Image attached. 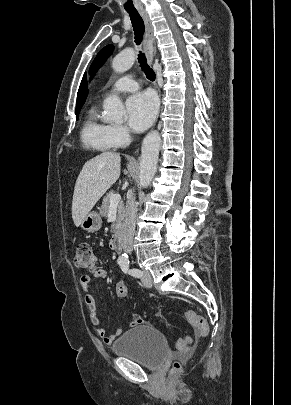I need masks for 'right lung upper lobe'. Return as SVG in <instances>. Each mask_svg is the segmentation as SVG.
Returning a JSON list of instances; mask_svg holds the SVG:
<instances>
[{"mask_svg":"<svg viewBox=\"0 0 291 405\" xmlns=\"http://www.w3.org/2000/svg\"><path fill=\"white\" fill-rule=\"evenodd\" d=\"M87 87H86V75H84L78 93H77V102H76V108H81L82 105L85 102L86 95H87Z\"/></svg>","mask_w":291,"mask_h":405,"instance_id":"obj_1","label":"right lung upper lobe"}]
</instances>
